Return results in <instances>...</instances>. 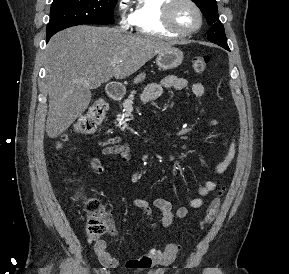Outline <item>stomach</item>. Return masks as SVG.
<instances>
[{
    "mask_svg": "<svg viewBox=\"0 0 289 274\" xmlns=\"http://www.w3.org/2000/svg\"><path fill=\"white\" fill-rule=\"evenodd\" d=\"M184 55L177 48H171L163 53L158 54L156 63L160 69L167 70L176 68L181 65Z\"/></svg>",
    "mask_w": 289,
    "mask_h": 274,
    "instance_id": "0dacf381",
    "label": "stomach"
}]
</instances>
